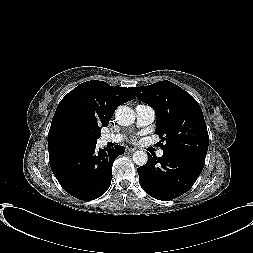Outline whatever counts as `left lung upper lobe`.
Returning <instances> with one entry per match:
<instances>
[{"instance_id":"obj_1","label":"left lung upper lobe","mask_w":253,"mask_h":253,"mask_svg":"<svg viewBox=\"0 0 253 253\" xmlns=\"http://www.w3.org/2000/svg\"><path fill=\"white\" fill-rule=\"evenodd\" d=\"M136 97L156 113L155 133L165 144L163 152L187 155L205 162L209 136L198 102L170 81L132 87Z\"/></svg>"}]
</instances>
